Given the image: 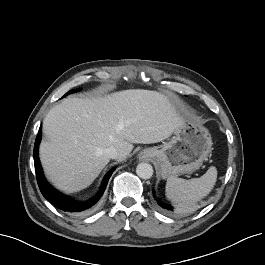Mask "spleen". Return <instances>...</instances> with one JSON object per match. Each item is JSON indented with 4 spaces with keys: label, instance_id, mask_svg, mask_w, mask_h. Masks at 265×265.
I'll return each instance as SVG.
<instances>
[{
    "label": "spleen",
    "instance_id": "1",
    "mask_svg": "<svg viewBox=\"0 0 265 265\" xmlns=\"http://www.w3.org/2000/svg\"><path fill=\"white\" fill-rule=\"evenodd\" d=\"M217 179L214 166L199 178L190 180L170 176L166 182V197L178 204H191L207 196L213 189Z\"/></svg>",
    "mask_w": 265,
    "mask_h": 265
}]
</instances>
